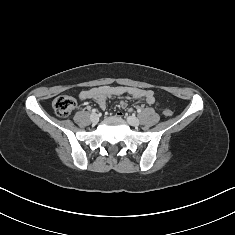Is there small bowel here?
Returning <instances> with one entry per match:
<instances>
[{"label":"small bowel","instance_id":"1","mask_svg":"<svg viewBox=\"0 0 235 235\" xmlns=\"http://www.w3.org/2000/svg\"><path fill=\"white\" fill-rule=\"evenodd\" d=\"M126 96L129 99L143 101L149 105H157V101L151 90L137 87L122 86H99L88 90H83L79 94L80 100H94L101 108H105L106 100L112 97ZM122 105H125L122 102Z\"/></svg>","mask_w":235,"mask_h":235}]
</instances>
